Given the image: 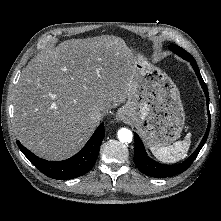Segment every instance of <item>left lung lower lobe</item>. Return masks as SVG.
I'll return each mask as SVG.
<instances>
[{
  "label": "left lung lower lobe",
  "instance_id": "1",
  "mask_svg": "<svg viewBox=\"0 0 221 221\" xmlns=\"http://www.w3.org/2000/svg\"><path fill=\"white\" fill-rule=\"evenodd\" d=\"M187 60L191 63L193 69L195 70L196 75L200 81V84L205 92L206 101H207V109H208V114H209V95H208L206 84L204 83V81L202 79L199 68H198L194 58L191 57V58H188ZM209 119H210V114H209ZM209 130H210V122L208 124L206 133H205L201 143L199 144L198 148L196 149V151L183 163L178 164V165H174V166L163 165V164H160V163L155 162L154 160L150 159L145 152V149H144V146H143V143H142L140 137L136 133H134V140H135L134 162H135V165L138 167V169L143 174L148 175V176H152V177H170L173 175L180 174V173L184 172L197 157L199 151L201 150V148L203 147V145L206 142V139L209 134Z\"/></svg>",
  "mask_w": 221,
  "mask_h": 221
}]
</instances>
